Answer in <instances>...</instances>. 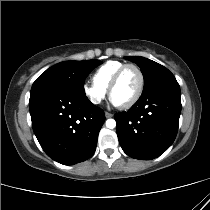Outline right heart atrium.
<instances>
[{"label": "right heart atrium", "instance_id": "d8ad5b80", "mask_svg": "<svg viewBox=\"0 0 210 210\" xmlns=\"http://www.w3.org/2000/svg\"><path fill=\"white\" fill-rule=\"evenodd\" d=\"M82 90L85 97L94 105H99L106 97V90L94 83L85 82Z\"/></svg>", "mask_w": 210, "mask_h": 210}]
</instances>
